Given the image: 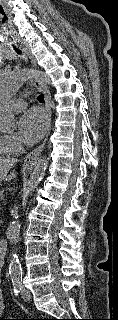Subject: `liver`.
Masks as SVG:
<instances>
[{
  "label": "liver",
  "mask_w": 118,
  "mask_h": 320,
  "mask_svg": "<svg viewBox=\"0 0 118 320\" xmlns=\"http://www.w3.org/2000/svg\"><path fill=\"white\" fill-rule=\"evenodd\" d=\"M16 162H17V159L15 158L0 157V181L2 180L10 181L11 179L16 178V173L14 172L10 173V175L7 176L8 172Z\"/></svg>",
  "instance_id": "6515ba94"
}]
</instances>
